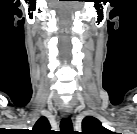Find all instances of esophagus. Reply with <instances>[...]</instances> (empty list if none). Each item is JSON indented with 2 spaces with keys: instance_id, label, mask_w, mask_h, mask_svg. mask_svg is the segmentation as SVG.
<instances>
[{
  "instance_id": "34e87169",
  "label": "esophagus",
  "mask_w": 137,
  "mask_h": 134,
  "mask_svg": "<svg viewBox=\"0 0 137 134\" xmlns=\"http://www.w3.org/2000/svg\"><path fill=\"white\" fill-rule=\"evenodd\" d=\"M61 112H62V115L65 117V118H69L70 115H71V112H72V108L71 106L69 105H63L61 107Z\"/></svg>"
}]
</instances>
